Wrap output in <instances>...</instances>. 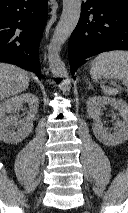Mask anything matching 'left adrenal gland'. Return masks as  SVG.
Segmentation results:
<instances>
[{
	"mask_svg": "<svg viewBox=\"0 0 128 213\" xmlns=\"http://www.w3.org/2000/svg\"><path fill=\"white\" fill-rule=\"evenodd\" d=\"M88 84H89V86H88V88H87V89H93V87H92L91 83H90V82H88Z\"/></svg>",
	"mask_w": 128,
	"mask_h": 213,
	"instance_id": "a2214340",
	"label": "left adrenal gland"
}]
</instances>
